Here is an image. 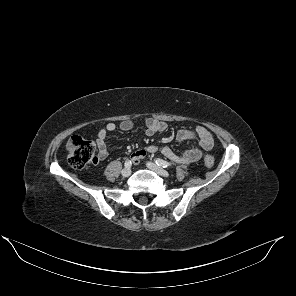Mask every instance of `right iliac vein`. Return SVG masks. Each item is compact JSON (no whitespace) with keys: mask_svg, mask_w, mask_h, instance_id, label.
<instances>
[{"mask_svg":"<svg viewBox=\"0 0 296 296\" xmlns=\"http://www.w3.org/2000/svg\"><path fill=\"white\" fill-rule=\"evenodd\" d=\"M131 174V169L129 167H126L122 170V176L128 177Z\"/></svg>","mask_w":296,"mask_h":296,"instance_id":"right-iliac-vein-1","label":"right iliac vein"}]
</instances>
